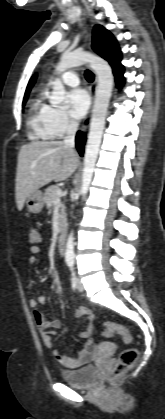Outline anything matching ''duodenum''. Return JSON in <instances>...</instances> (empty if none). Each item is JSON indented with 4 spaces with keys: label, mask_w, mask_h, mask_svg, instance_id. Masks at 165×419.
<instances>
[{
    "label": "duodenum",
    "mask_w": 165,
    "mask_h": 419,
    "mask_svg": "<svg viewBox=\"0 0 165 419\" xmlns=\"http://www.w3.org/2000/svg\"><path fill=\"white\" fill-rule=\"evenodd\" d=\"M66 244V233L62 232L57 240V248L60 253H64Z\"/></svg>",
    "instance_id": "1"
}]
</instances>
